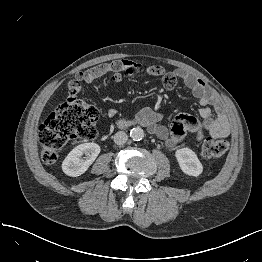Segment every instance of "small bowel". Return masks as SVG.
Here are the masks:
<instances>
[{
	"mask_svg": "<svg viewBox=\"0 0 262 262\" xmlns=\"http://www.w3.org/2000/svg\"><path fill=\"white\" fill-rule=\"evenodd\" d=\"M126 64H128L127 61L119 60L99 65L87 72L90 77L88 82L111 71H119ZM146 73L153 76H162L163 85L167 90H173L178 82L182 81L193 96L198 99L201 106L198 111L200 121H196L190 115L180 114L173 120L169 128L158 123L162 115L153 108H143L137 113V121L144 124L149 133L164 141L166 147L174 148L188 132L194 133L197 137H201L203 131L215 138L230 135V127L225 115V103L201 78L182 69L168 72L163 66L159 65L149 66ZM106 114L112 119L116 118V112L111 108L107 109Z\"/></svg>",
	"mask_w": 262,
	"mask_h": 262,
	"instance_id": "1",
	"label": "small bowel"
}]
</instances>
